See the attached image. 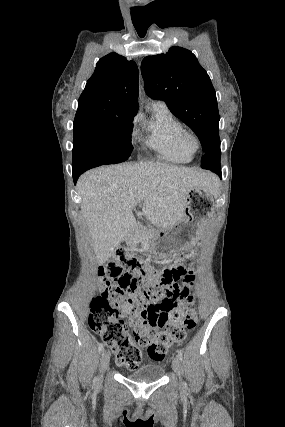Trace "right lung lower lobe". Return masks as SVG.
<instances>
[{"label": "right lung lower lobe", "mask_w": 285, "mask_h": 427, "mask_svg": "<svg viewBox=\"0 0 285 427\" xmlns=\"http://www.w3.org/2000/svg\"><path fill=\"white\" fill-rule=\"evenodd\" d=\"M82 173H83V172H81V171H73V180H74V183H76V181H77L78 177H79Z\"/></svg>", "instance_id": "98d812e1"}]
</instances>
